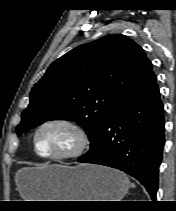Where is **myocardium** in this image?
<instances>
[{"instance_id":"1","label":"myocardium","mask_w":176,"mask_h":211,"mask_svg":"<svg viewBox=\"0 0 176 211\" xmlns=\"http://www.w3.org/2000/svg\"><path fill=\"white\" fill-rule=\"evenodd\" d=\"M51 126H62L69 130L74 138H75V146L69 152H64L60 154H41L37 148V138L39 133L44 130L45 128ZM32 146L34 149L35 154L44 160H66V159H73L81 156L90 146V137L87 131L77 122L68 119V118H51L45 120L41 124H39L36 129L34 130L32 136Z\"/></svg>"}]
</instances>
